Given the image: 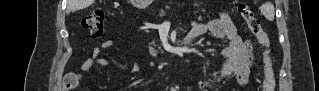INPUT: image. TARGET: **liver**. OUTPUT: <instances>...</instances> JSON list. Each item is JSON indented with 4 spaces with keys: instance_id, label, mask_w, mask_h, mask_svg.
<instances>
[{
    "instance_id": "1",
    "label": "liver",
    "mask_w": 319,
    "mask_h": 91,
    "mask_svg": "<svg viewBox=\"0 0 319 91\" xmlns=\"http://www.w3.org/2000/svg\"><path fill=\"white\" fill-rule=\"evenodd\" d=\"M94 0H71L70 10L76 11L90 6Z\"/></svg>"
}]
</instances>
